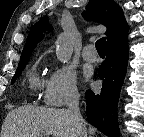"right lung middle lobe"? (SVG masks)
Masks as SVG:
<instances>
[{
  "label": "right lung middle lobe",
  "mask_w": 144,
  "mask_h": 137,
  "mask_svg": "<svg viewBox=\"0 0 144 137\" xmlns=\"http://www.w3.org/2000/svg\"><path fill=\"white\" fill-rule=\"evenodd\" d=\"M26 63H27V62L19 64V67H18V69L16 70V73H15V75H14L13 78H12V81H11L12 84H13V83L15 82V80L18 78L20 72L22 71V69H23V67L26 65Z\"/></svg>",
  "instance_id": "dd1d6c3e"
}]
</instances>
